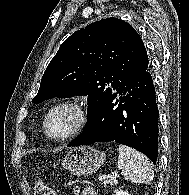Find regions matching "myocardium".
Instances as JSON below:
<instances>
[{
  "label": "myocardium",
  "instance_id": "myocardium-1",
  "mask_svg": "<svg viewBox=\"0 0 189 195\" xmlns=\"http://www.w3.org/2000/svg\"><path fill=\"white\" fill-rule=\"evenodd\" d=\"M67 106L72 107L73 109H75L77 111V113L79 115L78 122H77L76 126L68 134H66L62 137H54L49 133L48 120H49L50 116L57 109L62 108V107H67ZM88 121H89V112L84 104L80 103L77 100H63L61 102H58L54 106H52L49 109V111L46 113L44 120H43V131H44L46 137L48 139H50L51 141L64 142V141H67V140L73 138L77 134H79L85 128Z\"/></svg>",
  "mask_w": 189,
  "mask_h": 195
}]
</instances>
